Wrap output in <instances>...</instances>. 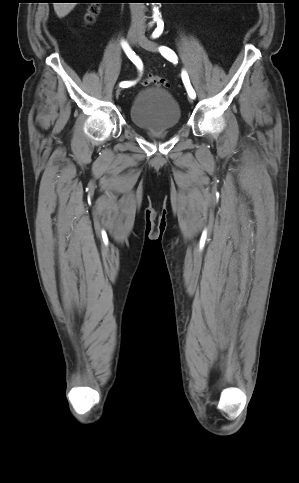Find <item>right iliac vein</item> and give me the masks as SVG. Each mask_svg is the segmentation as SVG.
I'll return each instance as SVG.
<instances>
[{
    "instance_id": "obj_1",
    "label": "right iliac vein",
    "mask_w": 299,
    "mask_h": 483,
    "mask_svg": "<svg viewBox=\"0 0 299 483\" xmlns=\"http://www.w3.org/2000/svg\"><path fill=\"white\" fill-rule=\"evenodd\" d=\"M139 37V33L136 30H129L128 32V41L131 46H134L137 43ZM121 93V89L116 90V95L118 96Z\"/></svg>"
}]
</instances>
